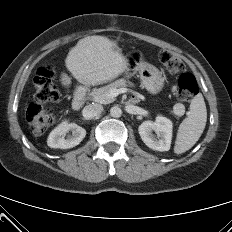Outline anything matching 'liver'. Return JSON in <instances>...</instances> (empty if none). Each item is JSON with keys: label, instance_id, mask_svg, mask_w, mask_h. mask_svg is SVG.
<instances>
[{"label": "liver", "instance_id": "liver-1", "mask_svg": "<svg viewBox=\"0 0 232 232\" xmlns=\"http://www.w3.org/2000/svg\"><path fill=\"white\" fill-rule=\"evenodd\" d=\"M65 65L78 82L94 86L118 77L126 70L127 62L116 42L105 36L93 35L80 39L70 49ZM61 82L69 85L71 79L62 73Z\"/></svg>", "mask_w": 232, "mask_h": 232}]
</instances>
